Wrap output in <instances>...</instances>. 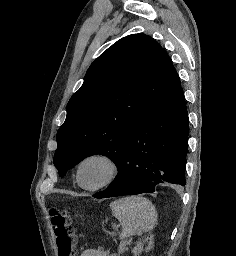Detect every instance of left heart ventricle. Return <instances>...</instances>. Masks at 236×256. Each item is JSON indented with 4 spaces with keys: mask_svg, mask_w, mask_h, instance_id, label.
<instances>
[{
    "mask_svg": "<svg viewBox=\"0 0 236 256\" xmlns=\"http://www.w3.org/2000/svg\"><path fill=\"white\" fill-rule=\"evenodd\" d=\"M110 174V166L101 159H91L81 168V180L87 186H93L104 181Z\"/></svg>",
    "mask_w": 236,
    "mask_h": 256,
    "instance_id": "left-heart-ventricle-1",
    "label": "left heart ventricle"
}]
</instances>
